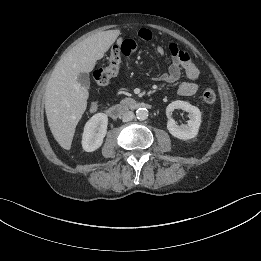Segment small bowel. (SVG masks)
<instances>
[{"label":"small bowel","instance_id":"obj_1","mask_svg":"<svg viewBox=\"0 0 261 261\" xmlns=\"http://www.w3.org/2000/svg\"><path fill=\"white\" fill-rule=\"evenodd\" d=\"M154 36L153 31L147 28H142L138 31V38L141 41H151L154 39ZM117 45L125 56H130L136 50V41L133 39L120 38L117 41ZM156 52L162 56L168 52L171 58L168 72L161 74L156 79L161 82L176 83L184 73L187 77V81H183L178 85L177 92L179 95L186 97L194 95L198 90L196 81L199 78L200 72L191 60L189 54L181 50L175 43L168 44L167 48L157 46ZM97 108L98 104L95 102L90 106L92 112H95Z\"/></svg>","mask_w":261,"mask_h":261}]
</instances>
